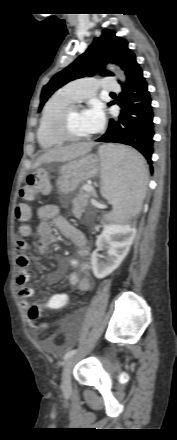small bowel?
I'll return each mask as SVG.
<instances>
[{
	"instance_id": "obj_1",
	"label": "small bowel",
	"mask_w": 177,
	"mask_h": 440,
	"mask_svg": "<svg viewBox=\"0 0 177 440\" xmlns=\"http://www.w3.org/2000/svg\"><path fill=\"white\" fill-rule=\"evenodd\" d=\"M35 215L40 220L33 226V230L38 236L37 249L40 253H46L49 247L56 242L57 239L53 232V227H55L65 238L78 247V254L82 258L85 259L87 257L89 249L84 234L59 214L58 206L52 204L40 206L37 208ZM26 234L29 233L27 232ZM26 249L27 243L19 240L16 244V262L19 269L17 285L19 287L18 296L20 303L24 309L30 307L28 300L34 295L33 289L28 286L30 273L27 270L29 259L26 255ZM68 263L71 267L79 269V272L70 273L68 277L70 285L80 292L89 291L92 286V281L89 277V264L87 262L80 264L76 259H71ZM57 276V274H52L49 280H56ZM49 298H67L69 301V296L66 293H56ZM38 328L46 330L47 325L40 323Z\"/></svg>"
}]
</instances>
